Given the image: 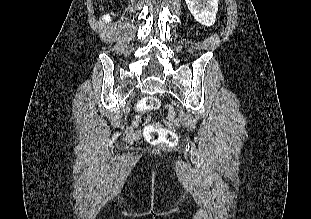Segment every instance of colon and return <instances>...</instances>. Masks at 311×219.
<instances>
[{"label":"colon","mask_w":311,"mask_h":219,"mask_svg":"<svg viewBox=\"0 0 311 219\" xmlns=\"http://www.w3.org/2000/svg\"><path fill=\"white\" fill-rule=\"evenodd\" d=\"M137 107L140 111H156L160 108V102L154 96H147L141 100ZM144 137L152 144L173 146L177 143V135L173 130L152 123L145 127Z\"/></svg>","instance_id":"colon-1"}]
</instances>
